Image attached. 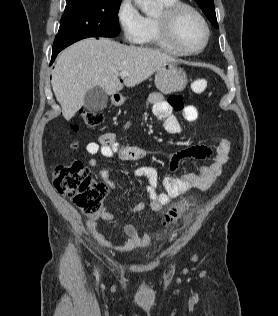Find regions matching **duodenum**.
Instances as JSON below:
<instances>
[{
  "label": "duodenum",
  "instance_id": "410a0bca",
  "mask_svg": "<svg viewBox=\"0 0 278 316\" xmlns=\"http://www.w3.org/2000/svg\"><path fill=\"white\" fill-rule=\"evenodd\" d=\"M113 100L115 103H118L120 100V97L118 95H114Z\"/></svg>",
  "mask_w": 278,
  "mask_h": 316
}]
</instances>
